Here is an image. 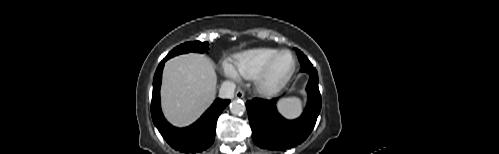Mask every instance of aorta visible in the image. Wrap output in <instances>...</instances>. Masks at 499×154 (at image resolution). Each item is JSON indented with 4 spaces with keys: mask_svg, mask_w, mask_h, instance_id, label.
Returning <instances> with one entry per match:
<instances>
[{
    "mask_svg": "<svg viewBox=\"0 0 499 154\" xmlns=\"http://www.w3.org/2000/svg\"><path fill=\"white\" fill-rule=\"evenodd\" d=\"M245 110H246L245 104L240 99L233 100L230 103V111L234 115H241V114H243L245 112Z\"/></svg>",
    "mask_w": 499,
    "mask_h": 154,
    "instance_id": "1",
    "label": "aorta"
}]
</instances>
